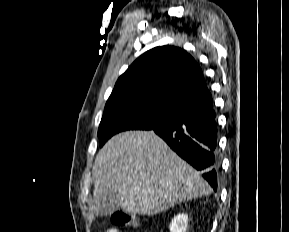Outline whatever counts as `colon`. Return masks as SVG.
Segmentation results:
<instances>
[{"label":"colon","mask_w":289,"mask_h":232,"mask_svg":"<svg viewBox=\"0 0 289 232\" xmlns=\"http://www.w3.org/2000/svg\"><path fill=\"white\" fill-rule=\"evenodd\" d=\"M111 221L114 226L119 227V228H124V227H137V222L134 219L133 216H131L128 213L117 211L112 214L111 216Z\"/></svg>","instance_id":"1"}]
</instances>
